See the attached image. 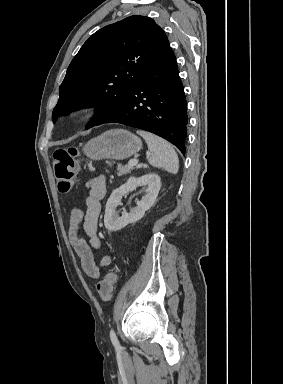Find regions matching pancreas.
I'll list each match as a JSON object with an SVG mask.
<instances>
[{
	"label": "pancreas",
	"instance_id": "cf45deb5",
	"mask_svg": "<svg viewBox=\"0 0 283 384\" xmlns=\"http://www.w3.org/2000/svg\"><path fill=\"white\" fill-rule=\"evenodd\" d=\"M117 176H124V174H130L131 170H134L133 166H118Z\"/></svg>",
	"mask_w": 283,
	"mask_h": 384
}]
</instances>
